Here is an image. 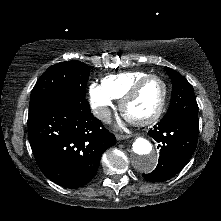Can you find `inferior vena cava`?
Masks as SVG:
<instances>
[{
  "instance_id": "1",
  "label": "inferior vena cava",
  "mask_w": 221,
  "mask_h": 221,
  "mask_svg": "<svg viewBox=\"0 0 221 221\" xmlns=\"http://www.w3.org/2000/svg\"><path fill=\"white\" fill-rule=\"evenodd\" d=\"M95 116L104 122L111 121V111L107 107H102L99 108L98 110H95Z\"/></svg>"
}]
</instances>
